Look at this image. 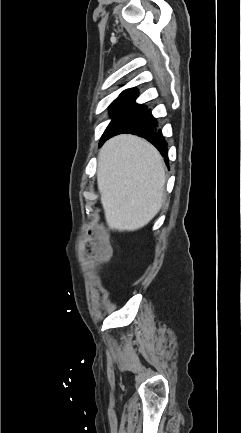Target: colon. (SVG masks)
Wrapping results in <instances>:
<instances>
[{"label": "colon", "mask_w": 241, "mask_h": 433, "mask_svg": "<svg viewBox=\"0 0 241 433\" xmlns=\"http://www.w3.org/2000/svg\"><path fill=\"white\" fill-rule=\"evenodd\" d=\"M90 250L92 252L94 259L97 261H104V260L108 259L110 256L109 245H108L107 241L102 237H98L94 241Z\"/></svg>", "instance_id": "obj_1"}]
</instances>
